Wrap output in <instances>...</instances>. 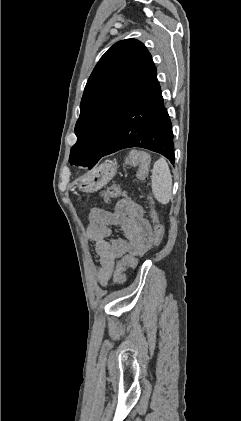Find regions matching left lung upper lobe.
I'll return each mask as SVG.
<instances>
[{
  "mask_svg": "<svg viewBox=\"0 0 241 421\" xmlns=\"http://www.w3.org/2000/svg\"><path fill=\"white\" fill-rule=\"evenodd\" d=\"M150 59L147 48L135 39L117 42L101 57L81 100L71 165L98 162L101 158Z\"/></svg>",
  "mask_w": 241,
  "mask_h": 421,
  "instance_id": "left-lung-upper-lobe-1",
  "label": "left lung upper lobe"
}]
</instances>
